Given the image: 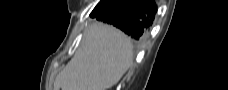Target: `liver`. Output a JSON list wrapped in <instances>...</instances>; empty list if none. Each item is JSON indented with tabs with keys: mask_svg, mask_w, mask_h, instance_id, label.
<instances>
[{
	"mask_svg": "<svg viewBox=\"0 0 228 90\" xmlns=\"http://www.w3.org/2000/svg\"><path fill=\"white\" fill-rule=\"evenodd\" d=\"M133 60V46L121 31L94 23L67 66L57 75L54 90H108Z\"/></svg>",
	"mask_w": 228,
	"mask_h": 90,
	"instance_id": "1",
	"label": "liver"
}]
</instances>
